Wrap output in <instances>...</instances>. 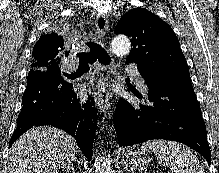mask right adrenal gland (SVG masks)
I'll return each instance as SVG.
<instances>
[{
    "instance_id": "obj_1",
    "label": "right adrenal gland",
    "mask_w": 219,
    "mask_h": 173,
    "mask_svg": "<svg viewBox=\"0 0 219 173\" xmlns=\"http://www.w3.org/2000/svg\"><path fill=\"white\" fill-rule=\"evenodd\" d=\"M66 169H67L68 171L71 170L73 173H75V169H74V166H73V162H70V163L67 165Z\"/></svg>"
}]
</instances>
